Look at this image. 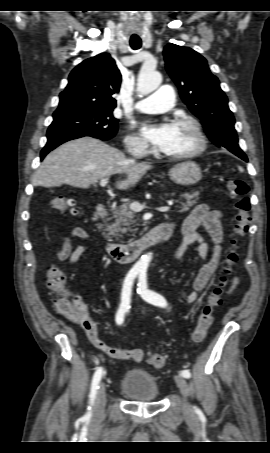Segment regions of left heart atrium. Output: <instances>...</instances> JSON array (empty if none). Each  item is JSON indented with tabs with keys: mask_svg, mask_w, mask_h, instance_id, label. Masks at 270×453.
<instances>
[{
	"mask_svg": "<svg viewBox=\"0 0 270 453\" xmlns=\"http://www.w3.org/2000/svg\"><path fill=\"white\" fill-rule=\"evenodd\" d=\"M174 133V124L164 122L160 124H148L142 128L143 137L160 149L165 148Z\"/></svg>",
	"mask_w": 270,
	"mask_h": 453,
	"instance_id": "39dd6f15",
	"label": "left heart atrium"
}]
</instances>
